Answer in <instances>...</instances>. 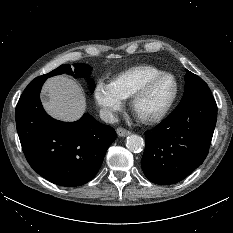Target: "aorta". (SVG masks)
Wrapping results in <instances>:
<instances>
[{"mask_svg":"<svg viewBox=\"0 0 233 233\" xmlns=\"http://www.w3.org/2000/svg\"><path fill=\"white\" fill-rule=\"evenodd\" d=\"M126 147L134 153L141 152L144 147V140L141 136L132 134L126 139Z\"/></svg>","mask_w":233,"mask_h":233,"instance_id":"aorta-1","label":"aorta"}]
</instances>
